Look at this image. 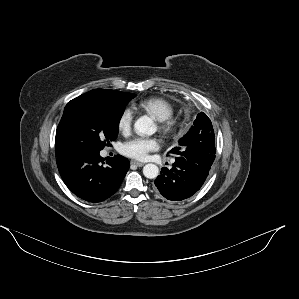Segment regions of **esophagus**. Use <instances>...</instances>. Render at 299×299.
I'll use <instances>...</instances> for the list:
<instances>
[{
  "mask_svg": "<svg viewBox=\"0 0 299 299\" xmlns=\"http://www.w3.org/2000/svg\"><path fill=\"white\" fill-rule=\"evenodd\" d=\"M131 164H134V165H136L138 167H142L144 165L143 162H139V161H135V160L131 161Z\"/></svg>",
  "mask_w": 299,
  "mask_h": 299,
  "instance_id": "1",
  "label": "esophagus"
}]
</instances>
